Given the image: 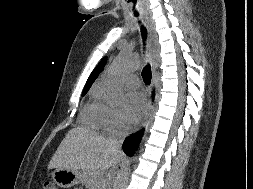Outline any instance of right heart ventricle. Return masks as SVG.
Returning a JSON list of instances; mask_svg holds the SVG:
<instances>
[{
    "label": "right heart ventricle",
    "instance_id": "e07e8e85",
    "mask_svg": "<svg viewBox=\"0 0 253 189\" xmlns=\"http://www.w3.org/2000/svg\"><path fill=\"white\" fill-rule=\"evenodd\" d=\"M83 122L92 127L102 126V104L99 101V90L94 89L90 94V99L83 108L81 114Z\"/></svg>",
    "mask_w": 253,
    "mask_h": 189
}]
</instances>
